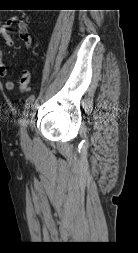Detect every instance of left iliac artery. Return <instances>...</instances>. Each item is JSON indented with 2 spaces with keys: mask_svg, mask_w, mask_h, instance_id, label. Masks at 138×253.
Masks as SVG:
<instances>
[{
  "mask_svg": "<svg viewBox=\"0 0 138 253\" xmlns=\"http://www.w3.org/2000/svg\"><path fill=\"white\" fill-rule=\"evenodd\" d=\"M34 100H35V96L34 95L29 96L28 99L26 100L25 110L23 112V115H24V118L22 120L23 123L26 122L25 118L28 117V115H29V109L32 106Z\"/></svg>",
  "mask_w": 138,
  "mask_h": 253,
  "instance_id": "44dca946",
  "label": "left iliac artery"
}]
</instances>
